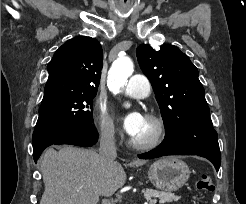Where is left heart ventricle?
Returning a JSON list of instances; mask_svg holds the SVG:
<instances>
[{
	"mask_svg": "<svg viewBox=\"0 0 246 204\" xmlns=\"http://www.w3.org/2000/svg\"><path fill=\"white\" fill-rule=\"evenodd\" d=\"M153 133H154L153 123L147 120L146 118H144V121L139 131L134 136H132V138L137 141H146L152 137Z\"/></svg>",
	"mask_w": 246,
	"mask_h": 204,
	"instance_id": "1",
	"label": "left heart ventricle"
}]
</instances>
